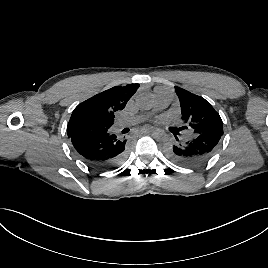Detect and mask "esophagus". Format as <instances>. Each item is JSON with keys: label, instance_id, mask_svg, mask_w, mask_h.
<instances>
[{"label": "esophagus", "instance_id": "esophagus-1", "mask_svg": "<svg viewBox=\"0 0 268 268\" xmlns=\"http://www.w3.org/2000/svg\"><path fill=\"white\" fill-rule=\"evenodd\" d=\"M152 131H153L152 129L149 130V131H147V132H146V135L149 136V137L152 136V134H153Z\"/></svg>", "mask_w": 268, "mask_h": 268}]
</instances>
